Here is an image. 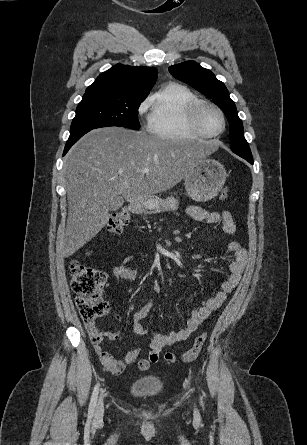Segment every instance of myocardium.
<instances>
[{"instance_id":"f54148a6","label":"myocardium","mask_w":307,"mask_h":445,"mask_svg":"<svg viewBox=\"0 0 307 445\" xmlns=\"http://www.w3.org/2000/svg\"><path fill=\"white\" fill-rule=\"evenodd\" d=\"M207 107H211L216 109L217 111H219V113L221 114L223 120H224V129L221 133L219 134H212L208 131L207 127L204 124L203 121V111L205 108ZM191 118H192V123L195 127V129L197 130V132L206 138H215V137H219L221 136L223 133H225V131L227 130L228 127V117L227 114L225 113V111L217 104L212 103V102H208V101H200L197 102L196 105L194 106V108L191 111Z\"/></svg>"}]
</instances>
